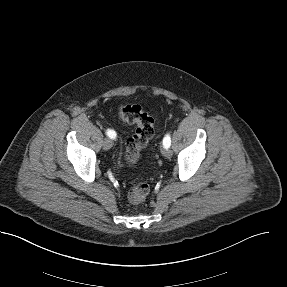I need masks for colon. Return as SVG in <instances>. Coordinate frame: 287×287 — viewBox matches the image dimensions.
Listing matches in <instances>:
<instances>
[{
	"mask_svg": "<svg viewBox=\"0 0 287 287\" xmlns=\"http://www.w3.org/2000/svg\"><path fill=\"white\" fill-rule=\"evenodd\" d=\"M119 118L136 126L135 133L126 142L125 158L128 164L134 165L140 157V152L154 135V119L139 105H125L119 108ZM149 193V185L146 182L134 184L129 191V200L133 204H139Z\"/></svg>",
	"mask_w": 287,
	"mask_h": 287,
	"instance_id": "obj_1",
	"label": "colon"
}]
</instances>
